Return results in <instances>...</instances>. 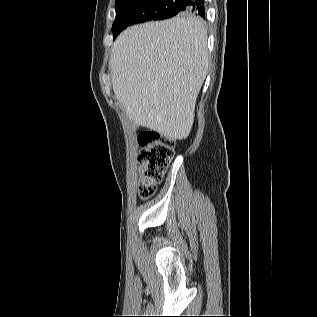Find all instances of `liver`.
Segmentation results:
<instances>
[{
    "label": "liver",
    "mask_w": 317,
    "mask_h": 317,
    "mask_svg": "<svg viewBox=\"0 0 317 317\" xmlns=\"http://www.w3.org/2000/svg\"><path fill=\"white\" fill-rule=\"evenodd\" d=\"M113 91L136 125L172 140L188 137L208 73L207 31L195 17L125 29L109 61Z\"/></svg>",
    "instance_id": "obj_1"
}]
</instances>
